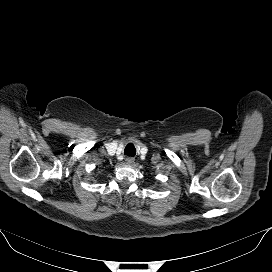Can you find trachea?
I'll use <instances>...</instances> for the list:
<instances>
[{
	"mask_svg": "<svg viewBox=\"0 0 272 272\" xmlns=\"http://www.w3.org/2000/svg\"><path fill=\"white\" fill-rule=\"evenodd\" d=\"M124 154L127 156H134L136 154L135 146L132 143L127 144Z\"/></svg>",
	"mask_w": 272,
	"mask_h": 272,
	"instance_id": "3493384b",
	"label": "trachea"
}]
</instances>
